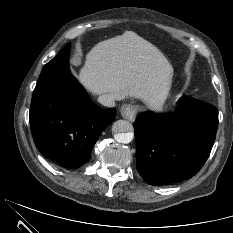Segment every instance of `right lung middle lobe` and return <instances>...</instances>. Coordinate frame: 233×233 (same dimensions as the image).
Masks as SVG:
<instances>
[{
	"label": "right lung middle lobe",
	"instance_id": "obj_1",
	"mask_svg": "<svg viewBox=\"0 0 233 233\" xmlns=\"http://www.w3.org/2000/svg\"><path fill=\"white\" fill-rule=\"evenodd\" d=\"M64 49H65V50L70 49V45H69V44H67V46H66Z\"/></svg>",
	"mask_w": 233,
	"mask_h": 233
}]
</instances>
